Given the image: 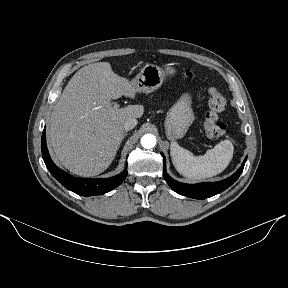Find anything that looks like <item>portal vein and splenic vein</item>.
Instances as JSON below:
<instances>
[{"instance_id":"portal-vein-and-splenic-vein-1","label":"portal vein and splenic vein","mask_w":288,"mask_h":288,"mask_svg":"<svg viewBox=\"0 0 288 288\" xmlns=\"http://www.w3.org/2000/svg\"><path fill=\"white\" fill-rule=\"evenodd\" d=\"M114 108H118L119 107V105L118 104H114V106H113Z\"/></svg>"}]
</instances>
